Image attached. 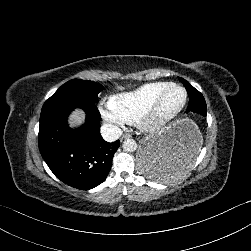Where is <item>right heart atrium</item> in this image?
Instances as JSON below:
<instances>
[{
    "label": "right heart atrium",
    "instance_id": "right-heart-atrium-1",
    "mask_svg": "<svg viewBox=\"0 0 251 251\" xmlns=\"http://www.w3.org/2000/svg\"><path fill=\"white\" fill-rule=\"evenodd\" d=\"M98 108L103 119L111 124L115 130L120 131L133 122V120L125 115L119 108L115 98L108 97L102 99L99 102Z\"/></svg>",
    "mask_w": 251,
    "mask_h": 251
}]
</instances>
